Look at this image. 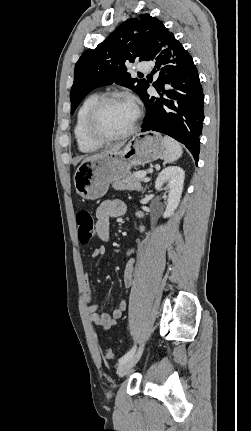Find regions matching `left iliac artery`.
I'll return each mask as SVG.
<instances>
[{
  "instance_id": "left-iliac-artery-1",
  "label": "left iliac artery",
  "mask_w": 251,
  "mask_h": 431,
  "mask_svg": "<svg viewBox=\"0 0 251 431\" xmlns=\"http://www.w3.org/2000/svg\"><path fill=\"white\" fill-rule=\"evenodd\" d=\"M135 350H136V346H133L125 355H123L119 359V363H122V362L128 360L131 356H133V354L135 353Z\"/></svg>"
}]
</instances>
